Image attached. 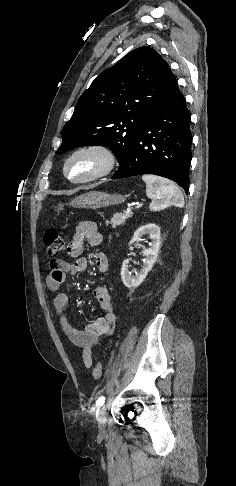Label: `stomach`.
I'll return each instance as SVG.
<instances>
[{"instance_id": "obj_1", "label": "stomach", "mask_w": 236, "mask_h": 486, "mask_svg": "<svg viewBox=\"0 0 236 486\" xmlns=\"http://www.w3.org/2000/svg\"><path fill=\"white\" fill-rule=\"evenodd\" d=\"M126 197L120 194H109L100 191H90L84 193L71 201L70 205L76 208L99 209L111 205H118L123 203ZM64 205L58 204L54 206V211L60 212Z\"/></svg>"}]
</instances>
